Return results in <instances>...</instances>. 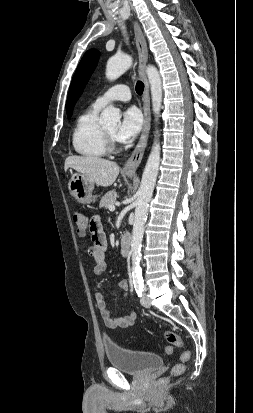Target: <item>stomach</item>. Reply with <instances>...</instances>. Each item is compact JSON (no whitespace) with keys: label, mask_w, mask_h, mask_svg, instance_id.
Masks as SVG:
<instances>
[{"label":"stomach","mask_w":253,"mask_h":413,"mask_svg":"<svg viewBox=\"0 0 253 413\" xmlns=\"http://www.w3.org/2000/svg\"><path fill=\"white\" fill-rule=\"evenodd\" d=\"M68 189L79 203L87 204L97 200V196L93 195L94 183L82 173L72 174L68 182Z\"/></svg>","instance_id":"0dacf381"}]
</instances>
